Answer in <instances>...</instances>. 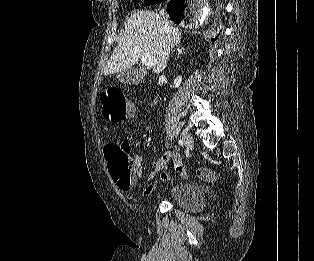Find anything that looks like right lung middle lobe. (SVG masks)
<instances>
[{"instance_id": "dd1d6c3e", "label": "right lung middle lobe", "mask_w": 314, "mask_h": 261, "mask_svg": "<svg viewBox=\"0 0 314 261\" xmlns=\"http://www.w3.org/2000/svg\"><path fill=\"white\" fill-rule=\"evenodd\" d=\"M162 0H145L144 3L146 5H153V4H156V3H159L161 2Z\"/></svg>"}]
</instances>
